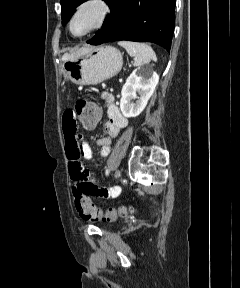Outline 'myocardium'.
Wrapping results in <instances>:
<instances>
[{
    "mask_svg": "<svg viewBox=\"0 0 240 288\" xmlns=\"http://www.w3.org/2000/svg\"><path fill=\"white\" fill-rule=\"evenodd\" d=\"M87 6H96L99 9V17L98 20L96 22V24L89 29L87 32L77 35L73 32L72 30V23L75 19V17L77 16V14L85 7ZM111 13V6L108 3L107 0H83L80 4H78V6L75 8L69 23H68V28L69 31L71 33L72 36L77 37V38H81V37H85L90 35L91 33L101 29L107 22L109 16Z\"/></svg>",
    "mask_w": 240,
    "mask_h": 288,
    "instance_id": "1",
    "label": "myocardium"
}]
</instances>
